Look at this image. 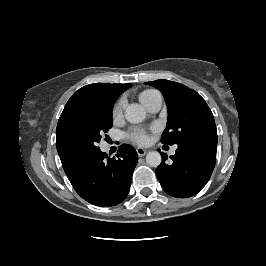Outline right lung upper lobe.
Masks as SVG:
<instances>
[{
    "instance_id": "right-lung-upper-lobe-1",
    "label": "right lung upper lobe",
    "mask_w": 266,
    "mask_h": 266,
    "mask_svg": "<svg viewBox=\"0 0 266 266\" xmlns=\"http://www.w3.org/2000/svg\"><path fill=\"white\" fill-rule=\"evenodd\" d=\"M130 84L94 83L77 90L66 103L59 118L56 129V145L63 169L72 178L80 169L86 158H76L67 155L61 148L60 138L65 126L76 116L94 104L105 100H116L118 95L129 88Z\"/></svg>"
}]
</instances>
